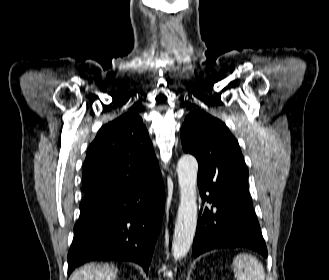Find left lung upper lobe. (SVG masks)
Returning <instances> with one entry per match:
<instances>
[{
	"label": "left lung upper lobe",
	"mask_w": 329,
	"mask_h": 280,
	"mask_svg": "<svg viewBox=\"0 0 329 280\" xmlns=\"http://www.w3.org/2000/svg\"><path fill=\"white\" fill-rule=\"evenodd\" d=\"M181 143L198 160L199 189L219 194L247 186L248 170L238 142L219 119L190 112L181 128Z\"/></svg>",
	"instance_id": "obj_1"
}]
</instances>
